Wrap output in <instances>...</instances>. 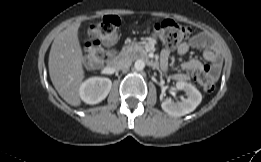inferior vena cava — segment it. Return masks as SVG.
I'll list each match as a JSON object with an SVG mask.
<instances>
[{
  "instance_id": "602c4592",
  "label": "inferior vena cava",
  "mask_w": 261,
  "mask_h": 162,
  "mask_svg": "<svg viewBox=\"0 0 261 162\" xmlns=\"http://www.w3.org/2000/svg\"><path fill=\"white\" fill-rule=\"evenodd\" d=\"M130 66H131V61L129 59H122V60H119L114 65V68L117 70H120V69H128Z\"/></svg>"
}]
</instances>
